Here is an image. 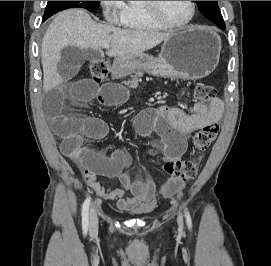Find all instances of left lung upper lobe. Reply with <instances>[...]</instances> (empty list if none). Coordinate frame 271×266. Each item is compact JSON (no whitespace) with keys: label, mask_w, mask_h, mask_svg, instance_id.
<instances>
[{"label":"left lung upper lobe","mask_w":271,"mask_h":266,"mask_svg":"<svg viewBox=\"0 0 271 266\" xmlns=\"http://www.w3.org/2000/svg\"><path fill=\"white\" fill-rule=\"evenodd\" d=\"M200 12L210 21L215 23L219 28L223 29L225 23L219 10L217 1H195Z\"/></svg>","instance_id":"5c2ea615"}]
</instances>
